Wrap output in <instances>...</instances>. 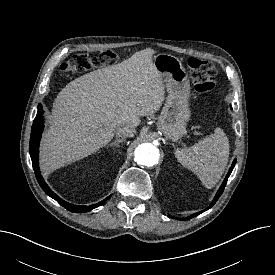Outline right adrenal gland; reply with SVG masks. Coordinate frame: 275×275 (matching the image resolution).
I'll return each mask as SVG.
<instances>
[{
	"instance_id": "1",
	"label": "right adrenal gland",
	"mask_w": 275,
	"mask_h": 275,
	"mask_svg": "<svg viewBox=\"0 0 275 275\" xmlns=\"http://www.w3.org/2000/svg\"><path fill=\"white\" fill-rule=\"evenodd\" d=\"M122 142H125V139H123V138H116L113 142H111L109 145H108V147L109 146H115L116 148H119V144L120 143H122Z\"/></svg>"
}]
</instances>
